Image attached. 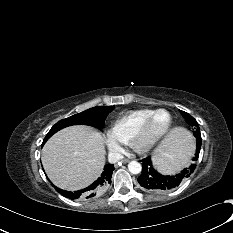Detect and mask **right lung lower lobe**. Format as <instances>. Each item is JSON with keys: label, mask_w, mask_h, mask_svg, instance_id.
Segmentation results:
<instances>
[{"label": "right lung lower lobe", "mask_w": 233, "mask_h": 233, "mask_svg": "<svg viewBox=\"0 0 233 233\" xmlns=\"http://www.w3.org/2000/svg\"><path fill=\"white\" fill-rule=\"evenodd\" d=\"M113 170H114L113 164L106 165L104 167V171L101 174V176L93 184H91L89 187L82 189V190H79V191L71 192V191H65V190L59 189L56 186H54V187L56 190H58V192L61 195H63L66 198L73 199V200L78 199V198L88 199V198H91V197H94V196L100 194L102 191L105 190V188L108 186V184L111 183V176H112Z\"/></svg>", "instance_id": "right-lung-lower-lobe-1"}]
</instances>
